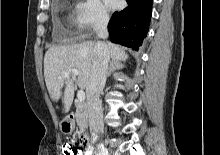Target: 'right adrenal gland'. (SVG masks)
<instances>
[{"mask_svg":"<svg viewBox=\"0 0 220 155\" xmlns=\"http://www.w3.org/2000/svg\"><path fill=\"white\" fill-rule=\"evenodd\" d=\"M124 66L120 61L112 60L109 65L107 77L111 75V72L114 70L122 69Z\"/></svg>","mask_w":220,"mask_h":155,"instance_id":"1","label":"right adrenal gland"}]
</instances>
